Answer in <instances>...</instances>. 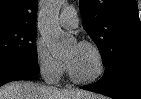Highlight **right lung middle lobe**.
Returning <instances> with one entry per match:
<instances>
[{"instance_id":"obj_1","label":"right lung middle lobe","mask_w":141,"mask_h":99,"mask_svg":"<svg viewBox=\"0 0 141 99\" xmlns=\"http://www.w3.org/2000/svg\"><path fill=\"white\" fill-rule=\"evenodd\" d=\"M36 27L0 26V63L25 62L37 64Z\"/></svg>"}]
</instances>
